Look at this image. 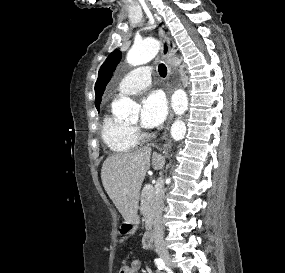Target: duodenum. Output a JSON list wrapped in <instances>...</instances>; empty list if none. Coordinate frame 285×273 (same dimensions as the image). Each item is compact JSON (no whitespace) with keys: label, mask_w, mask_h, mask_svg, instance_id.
Listing matches in <instances>:
<instances>
[{"label":"duodenum","mask_w":285,"mask_h":273,"mask_svg":"<svg viewBox=\"0 0 285 273\" xmlns=\"http://www.w3.org/2000/svg\"><path fill=\"white\" fill-rule=\"evenodd\" d=\"M143 245L148 249L153 243V232L151 230L146 231L142 238Z\"/></svg>","instance_id":"1"}]
</instances>
